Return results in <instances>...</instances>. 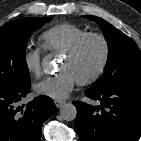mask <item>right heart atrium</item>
Here are the masks:
<instances>
[{"label":"right heart atrium","mask_w":141,"mask_h":141,"mask_svg":"<svg viewBox=\"0 0 141 141\" xmlns=\"http://www.w3.org/2000/svg\"><path fill=\"white\" fill-rule=\"evenodd\" d=\"M23 64L28 73L38 76L41 73L42 49L35 48L31 45L25 47L23 56Z\"/></svg>","instance_id":"1"}]
</instances>
